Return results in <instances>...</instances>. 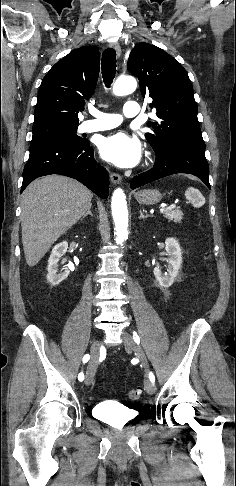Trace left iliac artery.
Wrapping results in <instances>:
<instances>
[{"instance_id":"obj_1","label":"left iliac artery","mask_w":236,"mask_h":486,"mask_svg":"<svg viewBox=\"0 0 236 486\" xmlns=\"http://www.w3.org/2000/svg\"><path fill=\"white\" fill-rule=\"evenodd\" d=\"M133 339H134V341H135L137 344H139V343H140V338H139V336L137 335V333H136V332H133ZM149 378H150V380H151L153 383L155 382V377H154L153 373H151V372H150V374H149Z\"/></svg>"}]
</instances>
